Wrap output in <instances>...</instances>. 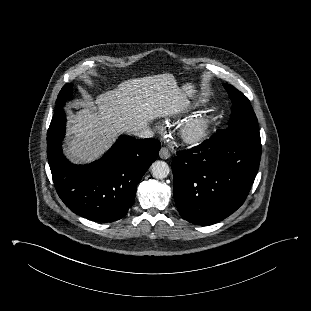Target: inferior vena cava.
I'll return each instance as SVG.
<instances>
[{"label": "inferior vena cava", "instance_id": "1", "mask_svg": "<svg viewBox=\"0 0 311 311\" xmlns=\"http://www.w3.org/2000/svg\"><path fill=\"white\" fill-rule=\"evenodd\" d=\"M133 134L135 136L140 137V138H151L154 136L153 131L147 127L141 128V129L135 131Z\"/></svg>", "mask_w": 311, "mask_h": 311}]
</instances>
